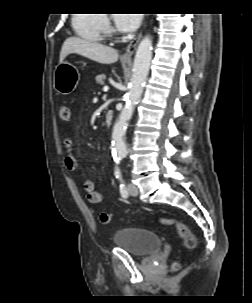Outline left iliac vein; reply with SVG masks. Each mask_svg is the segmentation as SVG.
<instances>
[{
  "instance_id": "obj_1",
  "label": "left iliac vein",
  "mask_w": 252,
  "mask_h": 303,
  "mask_svg": "<svg viewBox=\"0 0 252 303\" xmlns=\"http://www.w3.org/2000/svg\"><path fill=\"white\" fill-rule=\"evenodd\" d=\"M128 191H129V194L132 195V196H137V195H138V189H137V187H136L134 184H132V183H130V184L128 185Z\"/></svg>"
}]
</instances>
